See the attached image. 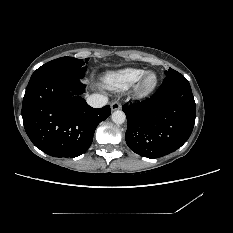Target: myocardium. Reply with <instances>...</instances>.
I'll return each instance as SVG.
<instances>
[{"instance_id": "f54148a6", "label": "myocardium", "mask_w": 233, "mask_h": 233, "mask_svg": "<svg viewBox=\"0 0 233 233\" xmlns=\"http://www.w3.org/2000/svg\"><path fill=\"white\" fill-rule=\"evenodd\" d=\"M157 83V74L153 71L147 72L138 81V84L136 86V92L139 95H146L156 87Z\"/></svg>"}]
</instances>
